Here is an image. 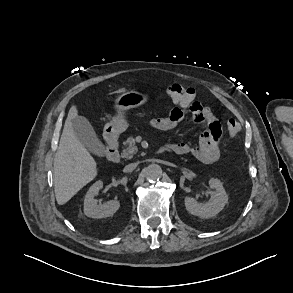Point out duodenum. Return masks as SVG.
<instances>
[{"instance_id": "410a0bca", "label": "duodenum", "mask_w": 293, "mask_h": 293, "mask_svg": "<svg viewBox=\"0 0 293 293\" xmlns=\"http://www.w3.org/2000/svg\"><path fill=\"white\" fill-rule=\"evenodd\" d=\"M107 159L112 163H118L121 159L120 153L118 151V140L114 136H107ZM167 151H172L171 146H164L157 150V153H165Z\"/></svg>"}]
</instances>
